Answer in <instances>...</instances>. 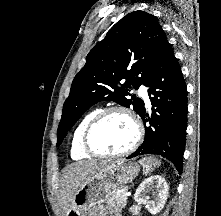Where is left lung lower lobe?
Instances as JSON below:
<instances>
[{"mask_svg":"<svg viewBox=\"0 0 221 216\" xmlns=\"http://www.w3.org/2000/svg\"><path fill=\"white\" fill-rule=\"evenodd\" d=\"M147 86L152 114L140 116L145 126L143 144L128 158L158 154L175 164L182 173L187 127V89L177 59L168 43L153 68Z\"/></svg>","mask_w":221,"mask_h":216,"instance_id":"0a47b994","label":"left lung lower lobe"}]
</instances>
